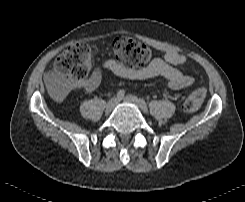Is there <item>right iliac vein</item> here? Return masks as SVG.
I'll return each mask as SVG.
<instances>
[{
	"label": "right iliac vein",
	"mask_w": 245,
	"mask_h": 202,
	"mask_svg": "<svg viewBox=\"0 0 245 202\" xmlns=\"http://www.w3.org/2000/svg\"><path fill=\"white\" fill-rule=\"evenodd\" d=\"M118 102H119L118 98L116 97L111 98L106 105V108H105L106 112H111L116 107Z\"/></svg>",
	"instance_id": "63e3f726"
}]
</instances>
